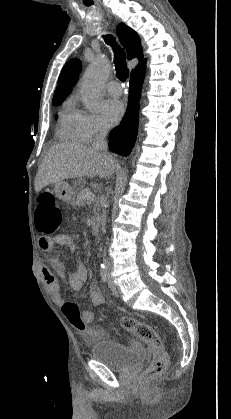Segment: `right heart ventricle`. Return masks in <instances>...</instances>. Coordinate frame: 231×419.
<instances>
[{"label": "right heart ventricle", "mask_w": 231, "mask_h": 419, "mask_svg": "<svg viewBox=\"0 0 231 419\" xmlns=\"http://www.w3.org/2000/svg\"><path fill=\"white\" fill-rule=\"evenodd\" d=\"M80 117L81 112L76 109L71 100H68L60 112L58 135L73 143L85 142L80 128Z\"/></svg>", "instance_id": "1"}]
</instances>
